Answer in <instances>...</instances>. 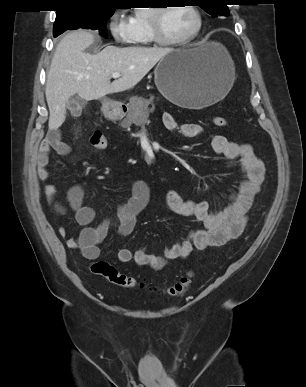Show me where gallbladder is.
Segmentation results:
<instances>
[{
    "label": "gallbladder",
    "instance_id": "bac80fb5",
    "mask_svg": "<svg viewBox=\"0 0 306 387\" xmlns=\"http://www.w3.org/2000/svg\"><path fill=\"white\" fill-rule=\"evenodd\" d=\"M85 103L86 102L78 96L70 97L66 103V107L71 112H74L75 110H77L80 107V105H85Z\"/></svg>",
    "mask_w": 306,
    "mask_h": 387
}]
</instances>
